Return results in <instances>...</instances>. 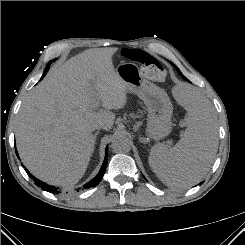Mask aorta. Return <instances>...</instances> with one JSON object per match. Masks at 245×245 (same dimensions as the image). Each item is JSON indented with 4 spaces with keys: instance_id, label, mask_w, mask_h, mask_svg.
<instances>
[{
    "instance_id": "obj_1",
    "label": "aorta",
    "mask_w": 245,
    "mask_h": 245,
    "mask_svg": "<svg viewBox=\"0 0 245 245\" xmlns=\"http://www.w3.org/2000/svg\"><path fill=\"white\" fill-rule=\"evenodd\" d=\"M111 147L117 153H127L131 149V142L126 136L118 135L112 140Z\"/></svg>"
}]
</instances>
